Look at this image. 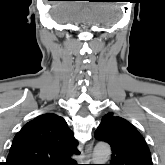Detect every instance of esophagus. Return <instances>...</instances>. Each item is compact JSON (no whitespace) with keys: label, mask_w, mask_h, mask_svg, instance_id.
<instances>
[{"label":"esophagus","mask_w":165,"mask_h":165,"mask_svg":"<svg viewBox=\"0 0 165 165\" xmlns=\"http://www.w3.org/2000/svg\"><path fill=\"white\" fill-rule=\"evenodd\" d=\"M92 150H93V142H90L89 144L86 145L85 148V153H84L85 160L87 161L91 160Z\"/></svg>","instance_id":"esophagus-1"}]
</instances>
